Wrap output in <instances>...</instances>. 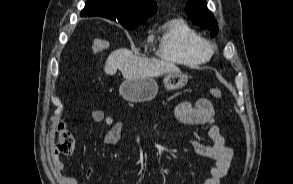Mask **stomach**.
<instances>
[{
	"instance_id": "obj_1",
	"label": "stomach",
	"mask_w": 293,
	"mask_h": 184,
	"mask_svg": "<svg viewBox=\"0 0 293 184\" xmlns=\"http://www.w3.org/2000/svg\"><path fill=\"white\" fill-rule=\"evenodd\" d=\"M188 76L181 71L166 73L163 83L167 90L183 88ZM158 91V85L152 77L126 79L119 88L120 95L129 102L141 103L152 100Z\"/></svg>"
}]
</instances>
